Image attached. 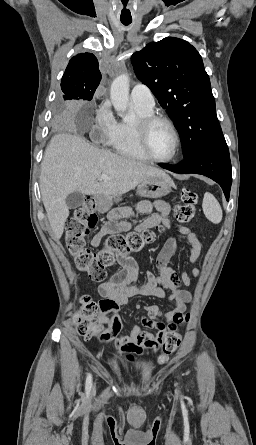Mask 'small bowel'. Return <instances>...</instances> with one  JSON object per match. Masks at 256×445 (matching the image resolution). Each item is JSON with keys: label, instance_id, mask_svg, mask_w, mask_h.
<instances>
[{"label": "small bowel", "instance_id": "obj_1", "mask_svg": "<svg viewBox=\"0 0 256 445\" xmlns=\"http://www.w3.org/2000/svg\"><path fill=\"white\" fill-rule=\"evenodd\" d=\"M153 207L156 212L147 217L138 228L145 230L164 225L173 232L185 236L189 244L188 262L194 263L201 251V243L197 235L188 227L172 224L169 219V206L165 201L156 200ZM139 208L145 210L147 204L142 203ZM130 228L129 222H108L91 238L90 245L98 247L107 234L125 232ZM176 248L177 240L174 237L169 238L156 258L158 274L148 272L145 280L140 283H137L138 267L136 262L129 256H117L122 270L102 282L98 287L99 294L104 298L100 303L98 321L108 325V338L128 328L120 318L119 308L126 305L130 298L153 296L165 298L173 304V307L165 312H162L156 305L143 306L144 315L138 323L130 328L129 335L120 336L117 339L115 347L123 351L130 362H135L136 356L145 351L155 350L162 341L165 332L175 329L179 325L174 321L176 316L182 314L186 305L192 300L191 293L181 288V285H191L195 277L198 276L199 270L194 269L192 276L187 270H183L180 275H177L170 266ZM136 308L139 309L141 306L137 304ZM153 328L158 329L157 334L145 330Z\"/></svg>", "mask_w": 256, "mask_h": 445}]
</instances>
